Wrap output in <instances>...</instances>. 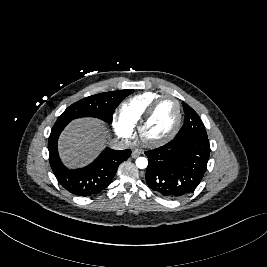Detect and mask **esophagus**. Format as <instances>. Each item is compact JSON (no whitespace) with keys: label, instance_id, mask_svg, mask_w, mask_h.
I'll use <instances>...</instances> for the list:
<instances>
[{"label":"esophagus","instance_id":"obj_1","mask_svg":"<svg viewBox=\"0 0 267 267\" xmlns=\"http://www.w3.org/2000/svg\"><path fill=\"white\" fill-rule=\"evenodd\" d=\"M141 152L137 149L132 151V158H137L138 156H140Z\"/></svg>","mask_w":267,"mask_h":267}]
</instances>
